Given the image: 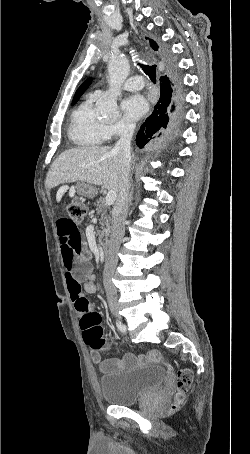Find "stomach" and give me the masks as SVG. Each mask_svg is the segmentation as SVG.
Wrapping results in <instances>:
<instances>
[{"mask_svg":"<svg viewBox=\"0 0 250 454\" xmlns=\"http://www.w3.org/2000/svg\"><path fill=\"white\" fill-rule=\"evenodd\" d=\"M97 193V190L84 182L78 185V194L87 198H93Z\"/></svg>","mask_w":250,"mask_h":454,"instance_id":"1","label":"stomach"}]
</instances>
